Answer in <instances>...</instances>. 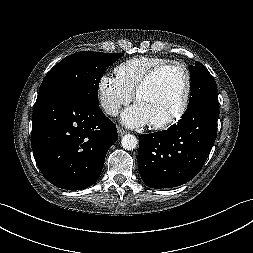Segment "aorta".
<instances>
[{
  "instance_id": "aorta-1",
  "label": "aorta",
  "mask_w": 253,
  "mask_h": 253,
  "mask_svg": "<svg viewBox=\"0 0 253 253\" xmlns=\"http://www.w3.org/2000/svg\"><path fill=\"white\" fill-rule=\"evenodd\" d=\"M137 144L138 140L134 135L126 134L122 137L121 145L125 150H134Z\"/></svg>"
}]
</instances>
